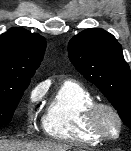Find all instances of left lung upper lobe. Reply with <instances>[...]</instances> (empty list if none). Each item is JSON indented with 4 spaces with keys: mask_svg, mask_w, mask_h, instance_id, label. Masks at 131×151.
Segmentation results:
<instances>
[{
    "mask_svg": "<svg viewBox=\"0 0 131 151\" xmlns=\"http://www.w3.org/2000/svg\"><path fill=\"white\" fill-rule=\"evenodd\" d=\"M68 55L76 69L99 88L131 129V73L120 43L103 29H86L70 40Z\"/></svg>",
    "mask_w": 131,
    "mask_h": 151,
    "instance_id": "5c2ea615",
    "label": "left lung upper lobe"
}]
</instances>
